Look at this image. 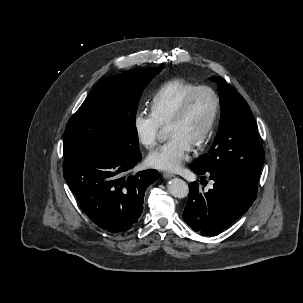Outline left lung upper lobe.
I'll return each mask as SVG.
<instances>
[{"instance_id":"left-lung-upper-lobe-1","label":"left lung upper lobe","mask_w":303,"mask_h":303,"mask_svg":"<svg viewBox=\"0 0 303 303\" xmlns=\"http://www.w3.org/2000/svg\"><path fill=\"white\" fill-rule=\"evenodd\" d=\"M219 88L221 117L210 151L191 165L221 169L258 184L264 161L255 120L244 98L221 77H212Z\"/></svg>"}]
</instances>
